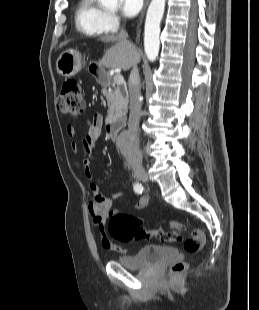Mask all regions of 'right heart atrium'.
Returning a JSON list of instances; mask_svg holds the SVG:
<instances>
[{"label": "right heart atrium", "instance_id": "right-heart-atrium-1", "mask_svg": "<svg viewBox=\"0 0 259 310\" xmlns=\"http://www.w3.org/2000/svg\"><path fill=\"white\" fill-rule=\"evenodd\" d=\"M121 23L120 17L115 13H106L105 27L107 31H115Z\"/></svg>", "mask_w": 259, "mask_h": 310}]
</instances>
